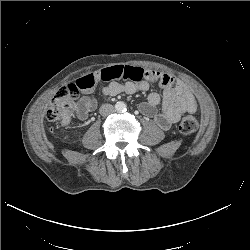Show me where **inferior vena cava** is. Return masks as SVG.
I'll use <instances>...</instances> for the list:
<instances>
[{"label": "inferior vena cava", "instance_id": "602c4592", "mask_svg": "<svg viewBox=\"0 0 250 250\" xmlns=\"http://www.w3.org/2000/svg\"><path fill=\"white\" fill-rule=\"evenodd\" d=\"M114 112V107L111 104H103L100 107V114L103 116L109 115Z\"/></svg>", "mask_w": 250, "mask_h": 250}]
</instances>
